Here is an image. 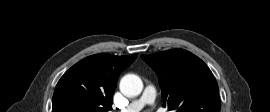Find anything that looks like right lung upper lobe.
<instances>
[{
  "mask_svg": "<svg viewBox=\"0 0 270 112\" xmlns=\"http://www.w3.org/2000/svg\"><path fill=\"white\" fill-rule=\"evenodd\" d=\"M136 57L101 53L82 59L57 83L52 112H108L119 74Z\"/></svg>",
  "mask_w": 270,
  "mask_h": 112,
  "instance_id": "cb5924a9",
  "label": "right lung upper lobe"
}]
</instances>
